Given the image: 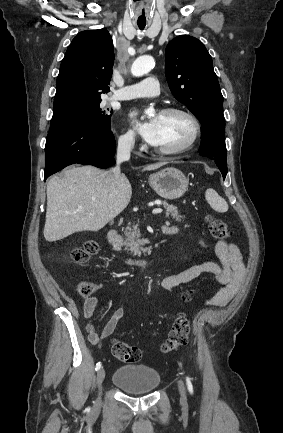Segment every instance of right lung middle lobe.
Masks as SVG:
<instances>
[{"label":"right lung middle lobe","instance_id":"dd1d6c3e","mask_svg":"<svg viewBox=\"0 0 283 433\" xmlns=\"http://www.w3.org/2000/svg\"><path fill=\"white\" fill-rule=\"evenodd\" d=\"M100 102L79 104L64 110L53 112L51 124L68 122H87L110 128L111 115L100 108Z\"/></svg>","mask_w":283,"mask_h":433}]
</instances>
